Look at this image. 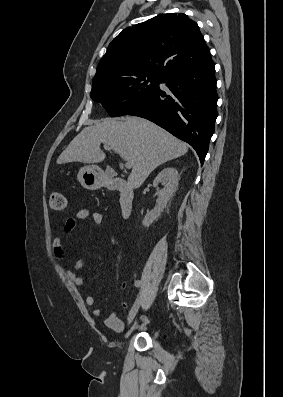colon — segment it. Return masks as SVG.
I'll return each mask as SVG.
<instances>
[{"mask_svg": "<svg viewBox=\"0 0 283 397\" xmlns=\"http://www.w3.org/2000/svg\"><path fill=\"white\" fill-rule=\"evenodd\" d=\"M50 207L53 210L61 211L67 206L66 197L62 193L53 192L49 198Z\"/></svg>", "mask_w": 283, "mask_h": 397, "instance_id": "colon-1", "label": "colon"}]
</instances>
